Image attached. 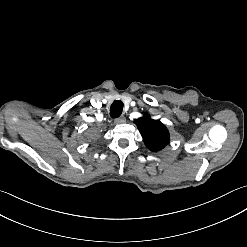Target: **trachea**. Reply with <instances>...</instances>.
Returning <instances> with one entry per match:
<instances>
[{
  "label": "trachea",
  "instance_id": "3493384b",
  "mask_svg": "<svg viewBox=\"0 0 247 247\" xmlns=\"http://www.w3.org/2000/svg\"><path fill=\"white\" fill-rule=\"evenodd\" d=\"M124 104L120 100H116L112 103L110 108V115L113 118H117L121 115Z\"/></svg>",
  "mask_w": 247,
  "mask_h": 247
}]
</instances>
